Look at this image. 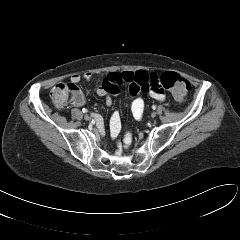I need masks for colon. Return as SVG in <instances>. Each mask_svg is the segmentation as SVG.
<instances>
[{"mask_svg": "<svg viewBox=\"0 0 240 240\" xmlns=\"http://www.w3.org/2000/svg\"><path fill=\"white\" fill-rule=\"evenodd\" d=\"M161 86L173 94L177 100H184L191 90L190 83L174 72H165L160 76ZM80 88L73 83L57 84L50 92L54 105L58 108L65 107L69 102L81 95Z\"/></svg>", "mask_w": 240, "mask_h": 240, "instance_id": "5ec220e1", "label": "colon"}]
</instances>
